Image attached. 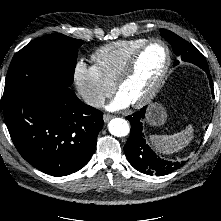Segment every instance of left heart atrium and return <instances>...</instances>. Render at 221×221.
Wrapping results in <instances>:
<instances>
[{"label":"left heart atrium","instance_id":"39dd6f15","mask_svg":"<svg viewBox=\"0 0 221 221\" xmlns=\"http://www.w3.org/2000/svg\"><path fill=\"white\" fill-rule=\"evenodd\" d=\"M129 104L130 102L121 93H118L111 104L108 106V108L111 110H116L124 108Z\"/></svg>","mask_w":221,"mask_h":221}]
</instances>
